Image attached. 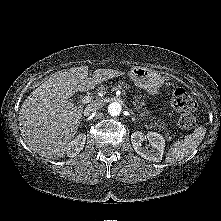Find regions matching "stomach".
Returning a JSON list of instances; mask_svg holds the SVG:
<instances>
[{"mask_svg":"<svg viewBox=\"0 0 221 221\" xmlns=\"http://www.w3.org/2000/svg\"><path fill=\"white\" fill-rule=\"evenodd\" d=\"M129 76L136 86L146 90L149 94H157L164 83V77L155 70L135 66Z\"/></svg>","mask_w":221,"mask_h":221,"instance_id":"0dacf381","label":"stomach"}]
</instances>
